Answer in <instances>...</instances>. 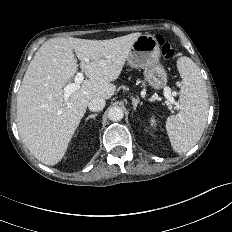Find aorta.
<instances>
[{"instance_id":"762f6f07","label":"aorta","mask_w":232,"mask_h":232,"mask_svg":"<svg viewBox=\"0 0 232 232\" xmlns=\"http://www.w3.org/2000/svg\"><path fill=\"white\" fill-rule=\"evenodd\" d=\"M108 117L113 122L120 121L124 117V111L119 106L111 107L108 111Z\"/></svg>"}]
</instances>
